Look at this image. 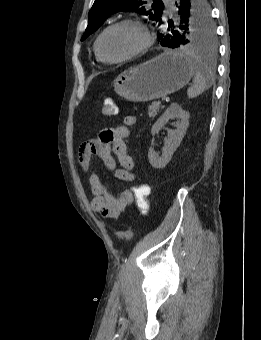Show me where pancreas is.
<instances>
[{
  "label": "pancreas",
  "mask_w": 261,
  "mask_h": 340,
  "mask_svg": "<svg viewBox=\"0 0 261 340\" xmlns=\"http://www.w3.org/2000/svg\"><path fill=\"white\" fill-rule=\"evenodd\" d=\"M163 108L161 106V102H153L149 107H148V115L150 118L156 117V115L159 113L160 109Z\"/></svg>",
  "instance_id": "obj_1"
}]
</instances>
